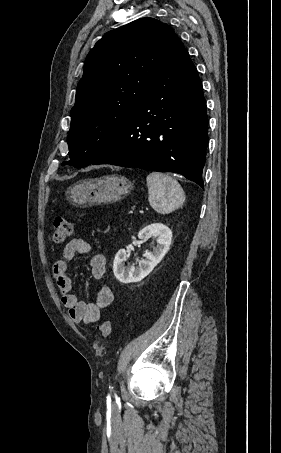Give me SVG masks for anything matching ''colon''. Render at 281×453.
<instances>
[{"label":"colon","mask_w":281,"mask_h":453,"mask_svg":"<svg viewBox=\"0 0 281 453\" xmlns=\"http://www.w3.org/2000/svg\"><path fill=\"white\" fill-rule=\"evenodd\" d=\"M73 229V223L66 217H58L55 219L53 225V238L56 244L63 245L65 244L71 234ZM114 324L111 319L103 320L99 325V335L101 338L107 339L110 338L113 334Z\"/></svg>","instance_id":"colon-1"}]
</instances>
